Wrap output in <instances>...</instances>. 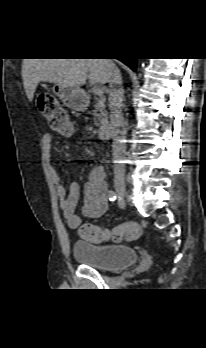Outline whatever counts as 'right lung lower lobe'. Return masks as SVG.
I'll return each mask as SVG.
<instances>
[{
    "mask_svg": "<svg viewBox=\"0 0 206 348\" xmlns=\"http://www.w3.org/2000/svg\"><path fill=\"white\" fill-rule=\"evenodd\" d=\"M123 63H125L127 66H129L132 70L136 71V58H127V59H119Z\"/></svg>",
    "mask_w": 206,
    "mask_h": 348,
    "instance_id": "1",
    "label": "right lung lower lobe"
}]
</instances>
